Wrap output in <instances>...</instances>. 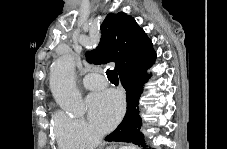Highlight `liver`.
I'll return each instance as SVG.
<instances>
[{
	"label": "liver",
	"mask_w": 227,
	"mask_h": 149,
	"mask_svg": "<svg viewBox=\"0 0 227 149\" xmlns=\"http://www.w3.org/2000/svg\"><path fill=\"white\" fill-rule=\"evenodd\" d=\"M132 147V148H131ZM129 149H136L134 146H131Z\"/></svg>",
	"instance_id": "obj_1"
}]
</instances>
